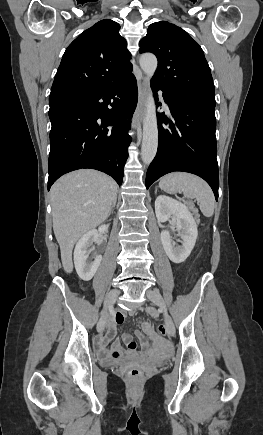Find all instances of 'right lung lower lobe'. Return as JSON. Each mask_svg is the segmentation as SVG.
Returning <instances> with one entry per match:
<instances>
[{
    "label": "right lung lower lobe",
    "instance_id": "1",
    "mask_svg": "<svg viewBox=\"0 0 263 435\" xmlns=\"http://www.w3.org/2000/svg\"><path fill=\"white\" fill-rule=\"evenodd\" d=\"M137 99L131 74L84 96L50 103L48 190L60 176L81 168L102 171L122 184Z\"/></svg>",
    "mask_w": 263,
    "mask_h": 435
}]
</instances>
